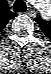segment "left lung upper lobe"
I'll list each match as a JSON object with an SVG mask.
<instances>
[{
    "instance_id": "left-lung-upper-lobe-1",
    "label": "left lung upper lobe",
    "mask_w": 51,
    "mask_h": 74,
    "mask_svg": "<svg viewBox=\"0 0 51 74\" xmlns=\"http://www.w3.org/2000/svg\"><path fill=\"white\" fill-rule=\"evenodd\" d=\"M35 21H36L39 25L43 24V20H42L41 18H39V17L35 18Z\"/></svg>"
}]
</instances>
